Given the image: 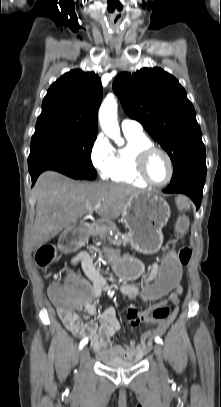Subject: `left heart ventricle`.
Segmentation results:
<instances>
[{"instance_id": "b2bd125f", "label": "left heart ventricle", "mask_w": 221, "mask_h": 407, "mask_svg": "<svg viewBox=\"0 0 221 407\" xmlns=\"http://www.w3.org/2000/svg\"><path fill=\"white\" fill-rule=\"evenodd\" d=\"M150 178L155 182H164L169 176V164L161 153H154L147 165Z\"/></svg>"}]
</instances>
